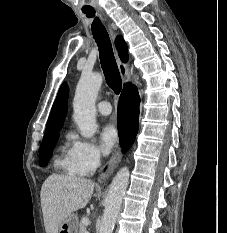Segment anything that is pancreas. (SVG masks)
<instances>
[{"instance_id":"pancreas-1","label":"pancreas","mask_w":227,"mask_h":233,"mask_svg":"<svg viewBox=\"0 0 227 233\" xmlns=\"http://www.w3.org/2000/svg\"><path fill=\"white\" fill-rule=\"evenodd\" d=\"M86 226L82 223L79 224V232L78 233H85Z\"/></svg>"}]
</instances>
